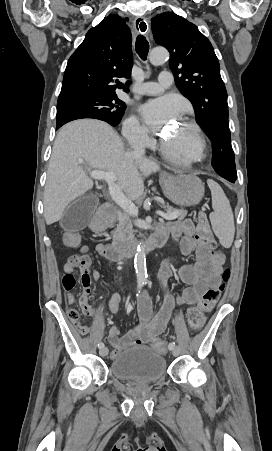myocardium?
Segmentation results:
<instances>
[{
    "label": "myocardium",
    "mask_w": 272,
    "mask_h": 451,
    "mask_svg": "<svg viewBox=\"0 0 272 451\" xmlns=\"http://www.w3.org/2000/svg\"><path fill=\"white\" fill-rule=\"evenodd\" d=\"M191 132L192 148L189 151H184L179 148L169 149L166 142H163V150L166 154L177 162L198 163L205 159V142L201 136L200 129L190 121H183Z\"/></svg>",
    "instance_id": "myocardium-1"
}]
</instances>
